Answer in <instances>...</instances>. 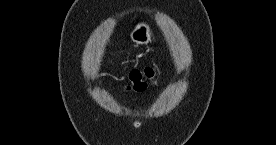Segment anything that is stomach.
I'll use <instances>...</instances> for the list:
<instances>
[{
    "label": "stomach",
    "mask_w": 276,
    "mask_h": 145,
    "mask_svg": "<svg viewBox=\"0 0 276 145\" xmlns=\"http://www.w3.org/2000/svg\"><path fill=\"white\" fill-rule=\"evenodd\" d=\"M130 37L136 44H147L152 38L150 27L146 23H139L131 32Z\"/></svg>",
    "instance_id": "0dacf381"
}]
</instances>
